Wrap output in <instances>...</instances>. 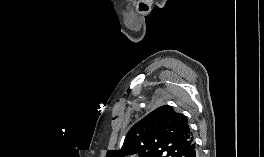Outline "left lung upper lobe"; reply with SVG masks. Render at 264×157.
<instances>
[{
	"label": "left lung upper lobe",
	"mask_w": 264,
	"mask_h": 157,
	"mask_svg": "<svg viewBox=\"0 0 264 157\" xmlns=\"http://www.w3.org/2000/svg\"><path fill=\"white\" fill-rule=\"evenodd\" d=\"M192 143L187 117L164 105L133 125L122 148L109 150L106 157H186Z\"/></svg>",
	"instance_id": "1"
}]
</instances>
